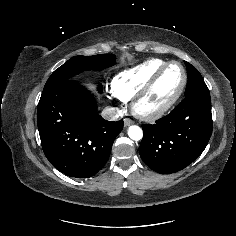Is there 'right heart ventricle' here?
Masks as SVG:
<instances>
[{
	"label": "right heart ventricle",
	"instance_id": "obj_1",
	"mask_svg": "<svg viewBox=\"0 0 236 236\" xmlns=\"http://www.w3.org/2000/svg\"><path fill=\"white\" fill-rule=\"evenodd\" d=\"M165 63L161 59H151L120 72L112 81V93L121 101H130Z\"/></svg>",
	"mask_w": 236,
	"mask_h": 236
}]
</instances>
